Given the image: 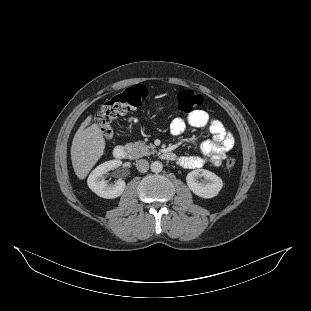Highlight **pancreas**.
<instances>
[{
	"mask_svg": "<svg viewBox=\"0 0 311 311\" xmlns=\"http://www.w3.org/2000/svg\"><path fill=\"white\" fill-rule=\"evenodd\" d=\"M125 148L135 159L156 153V146L154 144L146 145V143L142 141L127 143Z\"/></svg>",
	"mask_w": 311,
	"mask_h": 311,
	"instance_id": "1",
	"label": "pancreas"
}]
</instances>
